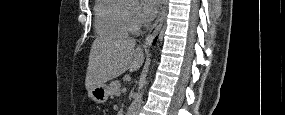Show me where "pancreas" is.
<instances>
[{"label":"pancreas","mask_w":285,"mask_h":115,"mask_svg":"<svg viewBox=\"0 0 285 115\" xmlns=\"http://www.w3.org/2000/svg\"><path fill=\"white\" fill-rule=\"evenodd\" d=\"M108 91L111 96L118 95L120 92V82L118 80L112 81L109 85Z\"/></svg>","instance_id":"obj_1"}]
</instances>
